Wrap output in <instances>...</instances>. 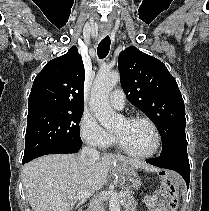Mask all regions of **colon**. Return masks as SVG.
Returning <instances> with one entry per match:
<instances>
[{"mask_svg":"<svg viewBox=\"0 0 209 211\" xmlns=\"http://www.w3.org/2000/svg\"><path fill=\"white\" fill-rule=\"evenodd\" d=\"M164 187L168 194V209L169 211H176L178 206V189L171 179L164 183Z\"/></svg>","mask_w":209,"mask_h":211,"instance_id":"1","label":"colon"}]
</instances>
